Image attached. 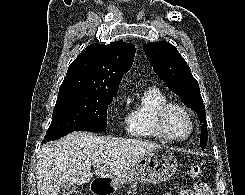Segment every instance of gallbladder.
<instances>
[{"label":"gallbladder","mask_w":245,"mask_h":195,"mask_svg":"<svg viewBox=\"0 0 245 195\" xmlns=\"http://www.w3.org/2000/svg\"><path fill=\"white\" fill-rule=\"evenodd\" d=\"M77 186L74 183L67 182L62 183L59 188V192L61 195H71L72 192H75Z\"/></svg>","instance_id":"gallbladder-1"}]
</instances>
